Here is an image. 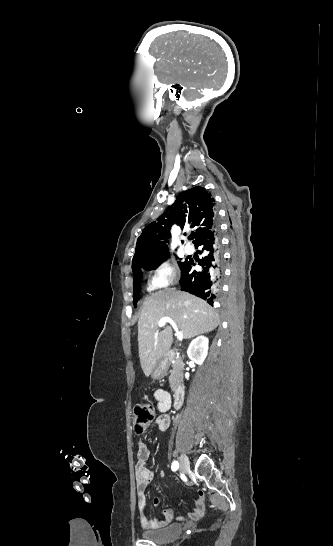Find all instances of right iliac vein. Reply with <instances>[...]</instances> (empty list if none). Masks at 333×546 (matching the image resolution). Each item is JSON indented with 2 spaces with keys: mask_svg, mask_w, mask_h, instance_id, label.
Segmentation results:
<instances>
[{
  "mask_svg": "<svg viewBox=\"0 0 333 546\" xmlns=\"http://www.w3.org/2000/svg\"><path fill=\"white\" fill-rule=\"evenodd\" d=\"M189 460H188V457L185 455V454H182L180 456V470L182 472H186L189 470Z\"/></svg>",
  "mask_w": 333,
  "mask_h": 546,
  "instance_id": "obj_1",
  "label": "right iliac vein"
}]
</instances>
